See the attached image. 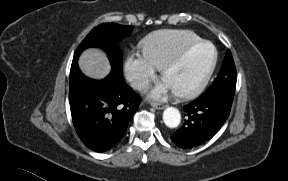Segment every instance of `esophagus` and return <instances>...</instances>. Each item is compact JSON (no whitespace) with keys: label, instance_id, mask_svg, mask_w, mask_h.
<instances>
[{"label":"esophagus","instance_id":"obj_1","mask_svg":"<svg viewBox=\"0 0 288 181\" xmlns=\"http://www.w3.org/2000/svg\"><path fill=\"white\" fill-rule=\"evenodd\" d=\"M151 106L155 109H159V110H162L165 108V105L163 104H160V103H156V102H152L151 103Z\"/></svg>","mask_w":288,"mask_h":181}]
</instances>
